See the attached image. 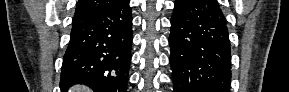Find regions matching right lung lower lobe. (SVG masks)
I'll return each instance as SVG.
<instances>
[{
    "mask_svg": "<svg viewBox=\"0 0 289 92\" xmlns=\"http://www.w3.org/2000/svg\"><path fill=\"white\" fill-rule=\"evenodd\" d=\"M129 0L75 15L63 57L60 89L85 84L94 92H126L131 59Z\"/></svg>",
    "mask_w": 289,
    "mask_h": 92,
    "instance_id": "98d812e1",
    "label": "right lung lower lobe"
}]
</instances>
